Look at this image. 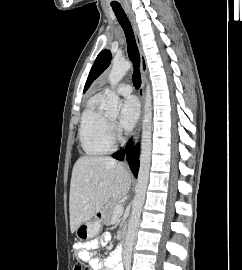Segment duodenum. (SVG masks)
Returning <instances> with one entry per match:
<instances>
[{
  "label": "duodenum",
  "instance_id": "duodenum-1",
  "mask_svg": "<svg viewBox=\"0 0 242 270\" xmlns=\"http://www.w3.org/2000/svg\"><path fill=\"white\" fill-rule=\"evenodd\" d=\"M120 241H121L122 243H124V242L126 241V232H125V231H123V232L121 233V235H120Z\"/></svg>",
  "mask_w": 242,
  "mask_h": 270
}]
</instances>
